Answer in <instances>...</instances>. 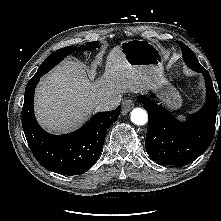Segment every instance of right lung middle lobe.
<instances>
[{
  "label": "right lung middle lobe",
  "instance_id": "right-lung-middle-lobe-1",
  "mask_svg": "<svg viewBox=\"0 0 221 221\" xmlns=\"http://www.w3.org/2000/svg\"><path fill=\"white\" fill-rule=\"evenodd\" d=\"M96 45H98V42H91L90 44H86L80 47L68 46V47L61 48L53 52L49 57L46 58V60L41 64V66L39 67L35 75L47 73L56 64L62 61L68 54L91 49V48L96 47Z\"/></svg>",
  "mask_w": 221,
  "mask_h": 221
}]
</instances>
